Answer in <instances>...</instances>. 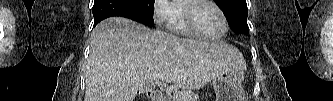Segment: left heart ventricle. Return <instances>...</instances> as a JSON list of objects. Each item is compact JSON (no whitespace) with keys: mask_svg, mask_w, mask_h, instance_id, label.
I'll list each match as a JSON object with an SVG mask.
<instances>
[{"mask_svg":"<svg viewBox=\"0 0 333 101\" xmlns=\"http://www.w3.org/2000/svg\"><path fill=\"white\" fill-rule=\"evenodd\" d=\"M194 19L198 29L207 36H217L223 30L219 13L208 4H201L195 9Z\"/></svg>","mask_w":333,"mask_h":101,"instance_id":"1","label":"left heart ventricle"}]
</instances>
